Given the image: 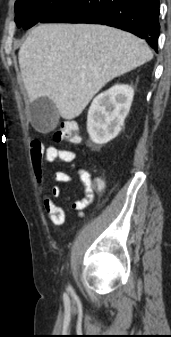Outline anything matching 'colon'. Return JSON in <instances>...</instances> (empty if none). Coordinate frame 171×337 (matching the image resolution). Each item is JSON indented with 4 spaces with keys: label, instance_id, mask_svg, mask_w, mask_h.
I'll list each match as a JSON object with an SVG mask.
<instances>
[{
    "label": "colon",
    "instance_id": "colon-1",
    "mask_svg": "<svg viewBox=\"0 0 171 337\" xmlns=\"http://www.w3.org/2000/svg\"><path fill=\"white\" fill-rule=\"evenodd\" d=\"M52 139L58 143L79 144L81 142V134L73 121H67L52 133ZM94 185L98 191L103 189V183L101 181H96Z\"/></svg>",
    "mask_w": 171,
    "mask_h": 337
}]
</instances>
